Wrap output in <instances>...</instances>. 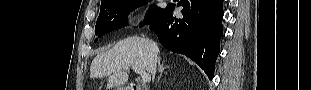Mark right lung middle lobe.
<instances>
[{"instance_id": "right-lung-middle-lobe-1", "label": "right lung middle lobe", "mask_w": 311, "mask_h": 90, "mask_svg": "<svg viewBox=\"0 0 311 90\" xmlns=\"http://www.w3.org/2000/svg\"><path fill=\"white\" fill-rule=\"evenodd\" d=\"M148 0H108L101 3L100 14L95 26V35H102L127 25V15L137 7L145 5ZM166 11L156 5H151L146 14L144 23L156 22ZM140 27L143 24L139 25ZM97 42V39H95Z\"/></svg>"}]
</instances>
